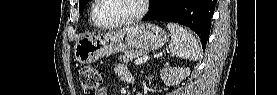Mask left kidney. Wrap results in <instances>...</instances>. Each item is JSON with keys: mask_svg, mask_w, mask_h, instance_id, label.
Wrapping results in <instances>:
<instances>
[{"mask_svg": "<svg viewBox=\"0 0 277 95\" xmlns=\"http://www.w3.org/2000/svg\"><path fill=\"white\" fill-rule=\"evenodd\" d=\"M186 68H166L161 72V78L165 85L178 84L186 76Z\"/></svg>", "mask_w": 277, "mask_h": 95, "instance_id": "5707ae66", "label": "left kidney"}]
</instances>
